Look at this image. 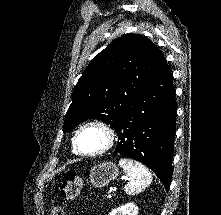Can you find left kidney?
I'll list each match as a JSON object with an SVG mask.
<instances>
[{"label":"left kidney","mask_w":221,"mask_h":215,"mask_svg":"<svg viewBox=\"0 0 221 215\" xmlns=\"http://www.w3.org/2000/svg\"><path fill=\"white\" fill-rule=\"evenodd\" d=\"M138 207L133 203L125 204L112 210L109 215H137Z\"/></svg>","instance_id":"1"}]
</instances>
